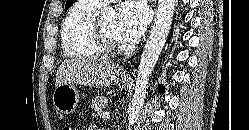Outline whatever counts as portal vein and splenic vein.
Returning <instances> with one entry per match:
<instances>
[{"label":"portal vein and splenic vein","mask_w":249,"mask_h":130,"mask_svg":"<svg viewBox=\"0 0 249 130\" xmlns=\"http://www.w3.org/2000/svg\"><path fill=\"white\" fill-rule=\"evenodd\" d=\"M100 117L102 119H108V118H110V113L109 112H103V113L100 114Z\"/></svg>","instance_id":"1"}]
</instances>
